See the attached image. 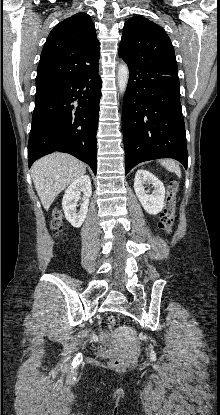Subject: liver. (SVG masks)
I'll return each instance as SVG.
<instances>
[{
    "instance_id": "6515ba94",
    "label": "liver",
    "mask_w": 220,
    "mask_h": 415,
    "mask_svg": "<svg viewBox=\"0 0 220 415\" xmlns=\"http://www.w3.org/2000/svg\"><path fill=\"white\" fill-rule=\"evenodd\" d=\"M85 172L84 163L65 153H53L36 161L31 176L44 209L49 210L58 194Z\"/></svg>"
}]
</instances>
